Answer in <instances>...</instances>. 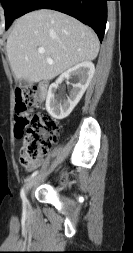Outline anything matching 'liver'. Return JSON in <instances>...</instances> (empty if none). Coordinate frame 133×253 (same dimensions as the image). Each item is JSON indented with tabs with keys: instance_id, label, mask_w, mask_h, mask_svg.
I'll return each mask as SVG.
<instances>
[{
	"instance_id": "obj_1",
	"label": "liver",
	"mask_w": 133,
	"mask_h": 253,
	"mask_svg": "<svg viewBox=\"0 0 133 253\" xmlns=\"http://www.w3.org/2000/svg\"><path fill=\"white\" fill-rule=\"evenodd\" d=\"M38 48H44L45 53L40 54ZM6 49L15 78L37 83L51 80L81 62L94 60L99 40L90 27L77 19L42 9L15 21Z\"/></svg>"
}]
</instances>
